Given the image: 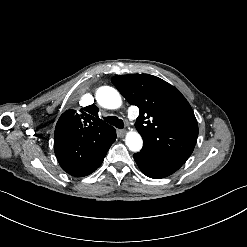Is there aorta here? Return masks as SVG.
I'll list each match as a JSON object with an SVG mask.
<instances>
[{
	"label": "aorta",
	"mask_w": 247,
	"mask_h": 247,
	"mask_svg": "<svg viewBox=\"0 0 247 247\" xmlns=\"http://www.w3.org/2000/svg\"><path fill=\"white\" fill-rule=\"evenodd\" d=\"M96 100L100 106L107 109H117L122 104L121 95L110 86L100 87L96 92ZM125 143L129 150L134 152L140 151L143 146L142 137L136 131H129L127 133Z\"/></svg>",
	"instance_id": "obj_1"
}]
</instances>
